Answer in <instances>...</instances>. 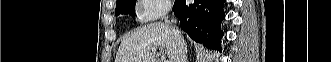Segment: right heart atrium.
Masks as SVG:
<instances>
[{
    "mask_svg": "<svg viewBox=\"0 0 331 62\" xmlns=\"http://www.w3.org/2000/svg\"><path fill=\"white\" fill-rule=\"evenodd\" d=\"M171 7L169 0L139 1V15L144 21H152L163 17Z\"/></svg>",
    "mask_w": 331,
    "mask_h": 62,
    "instance_id": "obj_1",
    "label": "right heart atrium"
}]
</instances>
